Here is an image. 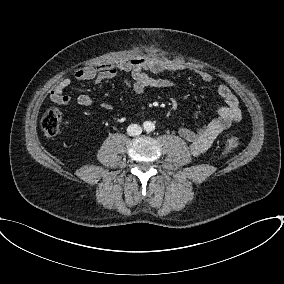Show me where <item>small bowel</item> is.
<instances>
[{
  "label": "small bowel",
  "instance_id": "c3829d8e",
  "mask_svg": "<svg viewBox=\"0 0 284 284\" xmlns=\"http://www.w3.org/2000/svg\"><path fill=\"white\" fill-rule=\"evenodd\" d=\"M181 66L177 63L155 57H141L118 63H105L99 66H85L75 72V78L79 81L92 80L95 84H101L116 76L124 77V84L127 88L136 94H142L148 88H171L174 83L166 78H155L149 73L159 74L169 71H178ZM199 78L210 83L213 80L211 74L199 72ZM71 84L69 77L62 78L50 92V98L53 103L67 107L72 100L65 95V90ZM217 94L224 101V105L217 111V116L211 121L197 129L181 127L178 131L180 137L189 144L192 155L199 156L205 153L220 137H229L234 125L242 118L240 103L238 98L224 84L217 86ZM77 103L80 106H90L93 98L89 94H80L77 97ZM111 105L108 102L103 103V108L109 109Z\"/></svg>",
  "mask_w": 284,
  "mask_h": 284
}]
</instances>
